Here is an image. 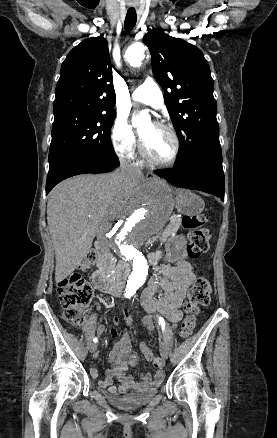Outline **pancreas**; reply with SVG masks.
I'll use <instances>...</instances> for the list:
<instances>
[{
	"mask_svg": "<svg viewBox=\"0 0 277 438\" xmlns=\"http://www.w3.org/2000/svg\"><path fill=\"white\" fill-rule=\"evenodd\" d=\"M183 225V220L181 218H173L171 220V224L166 225V232L167 233H176L179 230V227ZM155 242H160V237H155Z\"/></svg>",
	"mask_w": 277,
	"mask_h": 438,
	"instance_id": "1",
	"label": "pancreas"
}]
</instances>
